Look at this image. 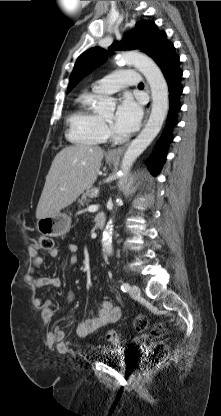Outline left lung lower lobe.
Returning <instances> with one entry per match:
<instances>
[{
  "label": "left lung lower lobe",
  "instance_id": "left-lung-lower-lobe-1",
  "mask_svg": "<svg viewBox=\"0 0 221 416\" xmlns=\"http://www.w3.org/2000/svg\"><path fill=\"white\" fill-rule=\"evenodd\" d=\"M150 57L161 68L164 77L166 78L170 101V109L165 129L159 139L154 154L147 161L150 171L154 176H156L166 159L167 147L173 140L172 129L178 123L177 113L181 108L179 96L181 95L183 88L180 85L182 72L178 68L179 57L175 54L173 44L166 40L165 33L160 37L158 43L152 50Z\"/></svg>",
  "mask_w": 221,
  "mask_h": 416
}]
</instances>
